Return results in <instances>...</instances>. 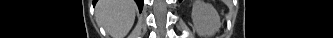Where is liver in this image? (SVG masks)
I'll use <instances>...</instances> for the list:
<instances>
[{"label": "liver", "instance_id": "obj_1", "mask_svg": "<svg viewBox=\"0 0 333 38\" xmlns=\"http://www.w3.org/2000/svg\"><path fill=\"white\" fill-rule=\"evenodd\" d=\"M133 0H99L96 16L114 38H123L131 29L136 12Z\"/></svg>", "mask_w": 333, "mask_h": 38}]
</instances>
